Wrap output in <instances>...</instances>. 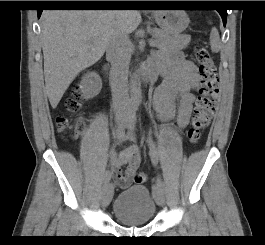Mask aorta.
Returning <instances> with one entry per match:
<instances>
[{
    "instance_id": "aorta-1",
    "label": "aorta",
    "mask_w": 265,
    "mask_h": 245,
    "mask_svg": "<svg viewBox=\"0 0 265 245\" xmlns=\"http://www.w3.org/2000/svg\"><path fill=\"white\" fill-rule=\"evenodd\" d=\"M130 92L131 99L134 102L139 101L140 99V84H139V76L138 74H133L132 79L130 81Z\"/></svg>"
}]
</instances>
